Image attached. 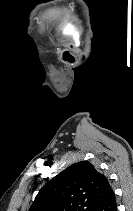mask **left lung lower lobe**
<instances>
[{
  "mask_svg": "<svg viewBox=\"0 0 133 211\" xmlns=\"http://www.w3.org/2000/svg\"><path fill=\"white\" fill-rule=\"evenodd\" d=\"M92 211H117V204L113 190Z\"/></svg>",
  "mask_w": 133,
  "mask_h": 211,
  "instance_id": "0a47b994",
  "label": "left lung lower lobe"
}]
</instances>
